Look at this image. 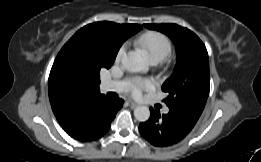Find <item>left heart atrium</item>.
Returning <instances> with one entry per match:
<instances>
[{
    "instance_id": "left-heart-atrium-1",
    "label": "left heart atrium",
    "mask_w": 261,
    "mask_h": 162,
    "mask_svg": "<svg viewBox=\"0 0 261 162\" xmlns=\"http://www.w3.org/2000/svg\"><path fill=\"white\" fill-rule=\"evenodd\" d=\"M153 88V83L150 80L145 79H134L131 92L135 96L141 95V93L145 90H149Z\"/></svg>"
}]
</instances>
